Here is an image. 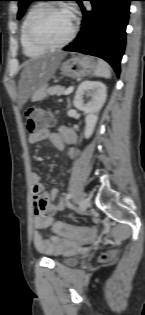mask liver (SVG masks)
I'll list each match as a JSON object with an SVG mask.
<instances>
[{"label": "liver", "instance_id": "6515ba94", "mask_svg": "<svg viewBox=\"0 0 145 315\" xmlns=\"http://www.w3.org/2000/svg\"><path fill=\"white\" fill-rule=\"evenodd\" d=\"M66 53H54L25 62L19 81V106L24 105L29 97L53 77Z\"/></svg>", "mask_w": 145, "mask_h": 315}]
</instances>
